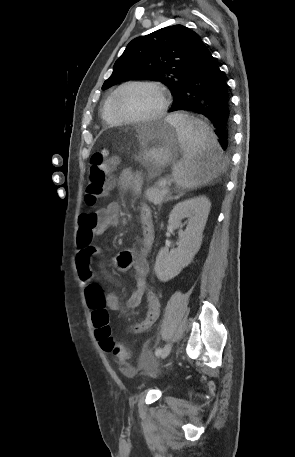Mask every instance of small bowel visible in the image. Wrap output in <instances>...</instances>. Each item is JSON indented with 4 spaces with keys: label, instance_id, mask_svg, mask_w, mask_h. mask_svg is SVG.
Masks as SVG:
<instances>
[{
    "label": "small bowel",
    "instance_id": "obj_1",
    "mask_svg": "<svg viewBox=\"0 0 295 457\" xmlns=\"http://www.w3.org/2000/svg\"><path fill=\"white\" fill-rule=\"evenodd\" d=\"M118 184L122 191H129L134 195H139L142 190L141 177L129 169H124L120 173ZM119 217V205L116 202H112L93 212L82 213L79 216V230L77 234L78 252L76 254L75 265L79 279L85 285L87 302L88 288L93 285L98 286L92 268V261L100 253V248L93 244V240L95 237L103 234L108 228L116 227L119 223ZM139 218L142 224V238L139 248L123 250L114 258V266L118 270L127 271L133 269L134 272L135 288L128 301L129 307L136 308L144 296L147 298V314L142 321L131 326V330L134 333L148 331L157 321L160 314L159 298L148 287L147 283V255L154 242V225L148 205H140ZM99 290L100 295L96 298L101 299L105 306L112 311H119L121 309L120 301L116 294L104 292L100 287Z\"/></svg>",
    "mask_w": 295,
    "mask_h": 457
}]
</instances>
